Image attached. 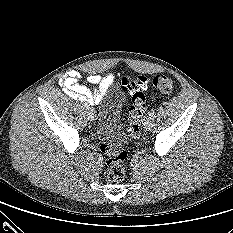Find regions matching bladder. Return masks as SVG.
Here are the masks:
<instances>
[{
  "label": "bladder",
  "instance_id": "31cf9c89",
  "mask_svg": "<svg viewBox=\"0 0 233 233\" xmlns=\"http://www.w3.org/2000/svg\"><path fill=\"white\" fill-rule=\"evenodd\" d=\"M124 108V95L121 90L113 91L100 117L97 134L105 143H115L123 140L121 113Z\"/></svg>",
  "mask_w": 233,
  "mask_h": 233
}]
</instances>
